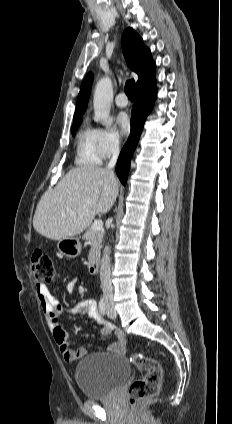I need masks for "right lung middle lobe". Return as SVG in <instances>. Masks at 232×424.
<instances>
[{
  "instance_id": "1",
  "label": "right lung middle lobe",
  "mask_w": 232,
  "mask_h": 424,
  "mask_svg": "<svg viewBox=\"0 0 232 424\" xmlns=\"http://www.w3.org/2000/svg\"><path fill=\"white\" fill-rule=\"evenodd\" d=\"M73 121H74V124L72 125L71 133L74 136L75 129L81 124L82 120L77 118V119H73Z\"/></svg>"
}]
</instances>
